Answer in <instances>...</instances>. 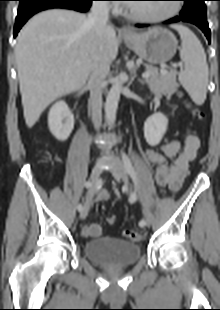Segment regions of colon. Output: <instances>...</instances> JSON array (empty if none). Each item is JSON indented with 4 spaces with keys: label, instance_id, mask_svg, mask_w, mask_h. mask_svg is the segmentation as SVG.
Segmentation results:
<instances>
[{
    "label": "colon",
    "instance_id": "5ec220e1",
    "mask_svg": "<svg viewBox=\"0 0 220 310\" xmlns=\"http://www.w3.org/2000/svg\"><path fill=\"white\" fill-rule=\"evenodd\" d=\"M197 116L199 118L202 117L200 112H197ZM107 221L109 224H114L116 222V216H114V215L109 216ZM122 234L124 237H126L132 241H140L143 239V236H144L142 232L134 230V229H126L123 231Z\"/></svg>",
    "mask_w": 220,
    "mask_h": 310
}]
</instances>
